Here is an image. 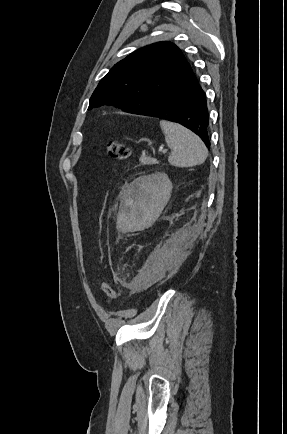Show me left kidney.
Masks as SVG:
<instances>
[{
    "mask_svg": "<svg viewBox=\"0 0 287 434\" xmlns=\"http://www.w3.org/2000/svg\"><path fill=\"white\" fill-rule=\"evenodd\" d=\"M172 183L165 173L138 177L124 190V206L128 216L146 223L154 221L168 202Z\"/></svg>",
    "mask_w": 287,
    "mask_h": 434,
    "instance_id": "obj_1",
    "label": "left kidney"
}]
</instances>
